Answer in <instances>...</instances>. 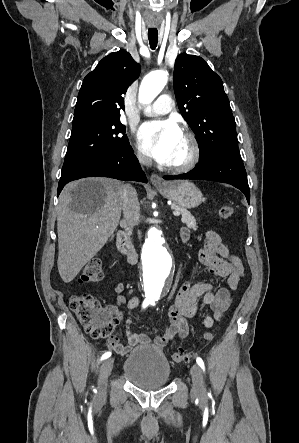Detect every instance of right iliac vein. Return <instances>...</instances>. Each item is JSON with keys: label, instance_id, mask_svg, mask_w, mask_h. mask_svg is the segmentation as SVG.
<instances>
[{"label": "right iliac vein", "instance_id": "right-iliac-vein-1", "mask_svg": "<svg viewBox=\"0 0 299 443\" xmlns=\"http://www.w3.org/2000/svg\"><path fill=\"white\" fill-rule=\"evenodd\" d=\"M113 366V359L109 358L103 362L100 367L99 380H98V399L102 400L106 396L107 377L111 372Z\"/></svg>", "mask_w": 299, "mask_h": 443}]
</instances>
